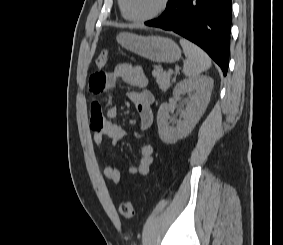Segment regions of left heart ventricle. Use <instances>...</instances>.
I'll use <instances>...</instances> for the list:
<instances>
[{
  "mask_svg": "<svg viewBox=\"0 0 283 245\" xmlns=\"http://www.w3.org/2000/svg\"><path fill=\"white\" fill-rule=\"evenodd\" d=\"M161 0H125V9L129 16L143 17L153 13Z\"/></svg>",
  "mask_w": 283,
  "mask_h": 245,
  "instance_id": "left-heart-ventricle-1",
  "label": "left heart ventricle"
}]
</instances>
